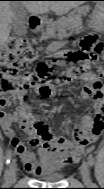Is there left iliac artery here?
I'll list each match as a JSON object with an SVG mask.
<instances>
[{"label":"left iliac artery","mask_w":104,"mask_h":189,"mask_svg":"<svg viewBox=\"0 0 104 189\" xmlns=\"http://www.w3.org/2000/svg\"><path fill=\"white\" fill-rule=\"evenodd\" d=\"M94 162H95V159H94L93 155L90 154V155L88 156V163H89V165H90V166H93V165H94ZM93 185H95V184H93Z\"/></svg>","instance_id":"left-iliac-artery-1"}]
</instances>
